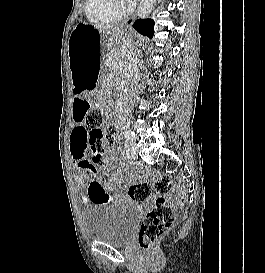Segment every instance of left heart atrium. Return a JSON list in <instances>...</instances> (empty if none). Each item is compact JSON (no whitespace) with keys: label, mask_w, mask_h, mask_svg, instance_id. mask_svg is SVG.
<instances>
[{"label":"left heart atrium","mask_w":265,"mask_h":273,"mask_svg":"<svg viewBox=\"0 0 265 273\" xmlns=\"http://www.w3.org/2000/svg\"><path fill=\"white\" fill-rule=\"evenodd\" d=\"M129 2H132V1H134V0H128Z\"/></svg>","instance_id":"39dd6f15"}]
</instances>
